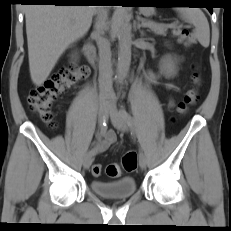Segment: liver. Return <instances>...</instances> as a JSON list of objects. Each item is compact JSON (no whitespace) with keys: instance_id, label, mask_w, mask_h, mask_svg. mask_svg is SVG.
I'll use <instances>...</instances> for the list:
<instances>
[{"instance_id":"6515ba94","label":"liver","mask_w":231,"mask_h":231,"mask_svg":"<svg viewBox=\"0 0 231 231\" xmlns=\"http://www.w3.org/2000/svg\"><path fill=\"white\" fill-rule=\"evenodd\" d=\"M96 6L28 5L25 7L29 69L41 86L70 44L88 32Z\"/></svg>"}]
</instances>
